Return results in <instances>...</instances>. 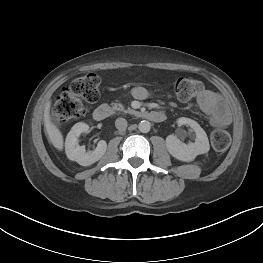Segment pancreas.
<instances>
[{"label":"pancreas","instance_id":"cf45deb5","mask_svg":"<svg viewBox=\"0 0 263 263\" xmlns=\"http://www.w3.org/2000/svg\"><path fill=\"white\" fill-rule=\"evenodd\" d=\"M112 109L114 111H122L124 113H129V114H135L136 111L133 109L128 108L127 110L124 109L123 105L121 103H112Z\"/></svg>","mask_w":263,"mask_h":263}]
</instances>
